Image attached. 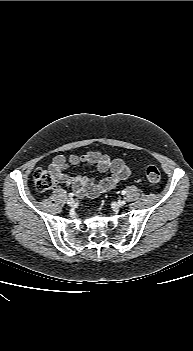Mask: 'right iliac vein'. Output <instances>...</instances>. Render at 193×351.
<instances>
[{
    "label": "right iliac vein",
    "mask_w": 193,
    "mask_h": 351,
    "mask_svg": "<svg viewBox=\"0 0 193 351\" xmlns=\"http://www.w3.org/2000/svg\"><path fill=\"white\" fill-rule=\"evenodd\" d=\"M67 204H68L69 206H73V205L75 204L74 199H72V198L68 199V200H67Z\"/></svg>",
    "instance_id": "63e3f726"
}]
</instances>
